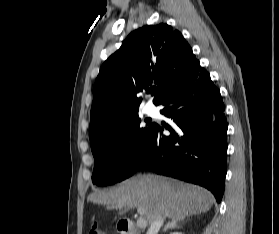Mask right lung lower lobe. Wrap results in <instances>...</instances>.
<instances>
[{
  "label": "right lung lower lobe",
  "instance_id": "right-lung-lower-lobe-1",
  "mask_svg": "<svg viewBox=\"0 0 279 234\" xmlns=\"http://www.w3.org/2000/svg\"><path fill=\"white\" fill-rule=\"evenodd\" d=\"M173 119L171 135L154 124L147 151L138 167L209 189L220 202L224 192L227 121L220 91L209 73L196 64L192 72L160 103ZM167 128V126H165Z\"/></svg>",
  "mask_w": 279,
  "mask_h": 234
}]
</instances>
